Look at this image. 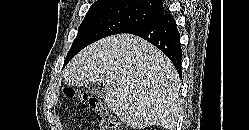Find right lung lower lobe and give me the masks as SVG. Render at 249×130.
<instances>
[{
    "mask_svg": "<svg viewBox=\"0 0 249 130\" xmlns=\"http://www.w3.org/2000/svg\"><path fill=\"white\" fill-rule=\"evenodd\" d=\"M125 33L142 37L159 48L173 62L181 76L182 49L180 35L171 14L161 15Z\"/></svg>",
    "mask_w": 249,
    "mask_h": 130,
    "instance_id": "98d812e1",
    "label": "right lung lower lobe"
}]
</instances>
